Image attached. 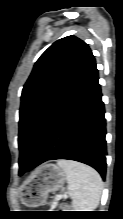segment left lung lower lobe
<instances>
[{"label":"left lung lower lobe","mask_w":123,"mask_h":219,"mask_svg":"<svg viewBox=\"0 0 123 219\" xmlns=\"http://www.w3.org/2000/svg\"><path fill=\"white\" fill-rule=\"evenodd\" d=\"M94 63L59 106L30 163L19 175L51 159H68L106 175V120Z\"/></svg>","instance_id":"obj_1"}]
</instances>
